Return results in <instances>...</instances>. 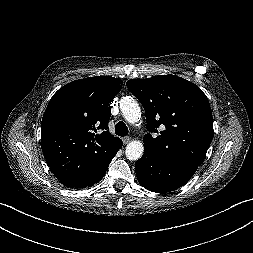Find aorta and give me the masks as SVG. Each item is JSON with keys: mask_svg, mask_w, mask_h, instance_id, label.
Listing matches in <instances>:
<instances>
[{"mask_svg": "<svg viewBox=\"0 0 253 253\" xmlns=\"http://www.w3.org/2000/svg\"><path fill=\"white\" fill-rule=\"evenodd\" d=\"M120 109L126 119L130 124L137 123L141 118V109L136 100L132 97H124L120 100ZM144 152L143 143L137 140L131 141L125 149V154L127 159L135 161L141 158Z\"/></svg>", "mask_w": 253, "mask_h": 253, "instance_id": "1", "label": "aorta"}]
</instances>
